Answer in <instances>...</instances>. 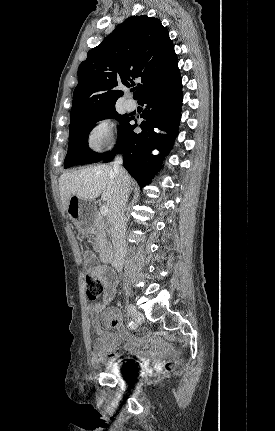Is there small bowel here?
<instances>
[{
    "label": "small bowel",
    "mask_w": 275,
    "mask_h": 431,
    "mask_svg": "<svg viewBox=\"0 0 275 431\" xmlns=\"http://www.w3.org/2000/svg\"><path fill=\"white\" fill-rule=\"evenodd\" d=\"M84 260L87 268L104 284L102 301L88 306L91 334L94 336L92 361L97 364L116 362L120 357L116 348L123 341L124 349L137 356L145 366L153 363L158 370L170 366L177 357V352L171 345L147 334H131L122 323L120 311L109 307L116 293L115 274L106 266L99 265L89 251H86ZM110 328H115L116 333L109 332Z\"/></svg>",
    "instance_id": "c3829d8e"
}]
</instances>
